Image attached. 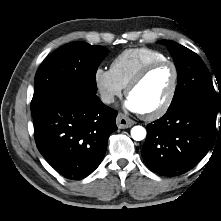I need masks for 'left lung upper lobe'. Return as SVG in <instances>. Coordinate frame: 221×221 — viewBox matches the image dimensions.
<instances>
[{
    "label": "left lung upper lobe",
    "mask_w": 221,
    "mask_h": 221,
    "mask_svg": "<svg viewBox=\"0 0 221 221\" xmlns=\"http://www.w3.org/2000/svg\"><path fill=\"white\" fill-rule=\"evenodd\" d=\"M159 43L167 46L178 71V83L170 107L187 100H198L217 110V95L210 73L201 58L176 42L161 40Z\"/></svg>",
    "instance_id": "obj_1"
}]
</instances>
